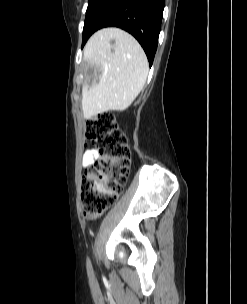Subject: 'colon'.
Wrapping results in <instances>:
<instances>
[{
  "label": "colon",
  "instance_id": "colon-1",
  "mask_svg": "<svg viewBox=\"0 0 247 304\" xmlns=\"http://www.w3.org/2000/svg\"><path fill=\"white\" fill-rule=\"evenodd\" d=\"M86 136L99 153L81 180L84 214L94 219L117 201L129 176L131 153L125 134L110 112L90 118Z\"/></svg>",
  "mask_w": 247,
  "mask_h": 304
}]
</instances>
